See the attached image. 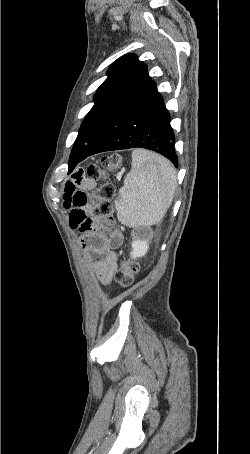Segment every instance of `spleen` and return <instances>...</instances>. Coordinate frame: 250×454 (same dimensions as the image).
I'll list each match as a JSON object with an SVG mask.
<instances>
[{
  "mask_svg": "<svg viewBox=\"0 0 250 454\" xmlns=\"http://www.w3.org/2000/svg\"><path fill=\"white\" fill-rule=\"evenodd\" d=\"M176 184L170 161L156 153L135 149L131 171L115 200L118 221L131 228L159 223L172 203Z\"/></svg>",
  "mask_w": 250,
  "mask_h": 454,
  "instance_id": "spleen-1",
  "label": "spleen"
}]
</instances>
